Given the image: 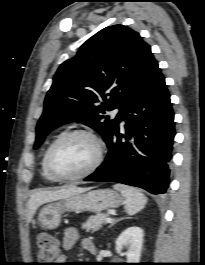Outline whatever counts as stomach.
Listing matches in <instances>:
<instances>
[{
  "label": "stomach",
  "mask_w": 205,
  "mask_h": 265,
  "mask_svg": "<svg viewBox=\"0 0 205 265\" xmlns=\"http://www.w3.org/2000/svg\"><path fill=\"white\" fill-rule=\"evenodd\" d=\"M121 203V195L112 189L92 190L45 205L40 210L38 221L43 228L53 230L60 225L62 215L67 211L101 213L107 208H116Z\"/></svg>",
  "instance_id": "0dacf381"
}]
</instances>
